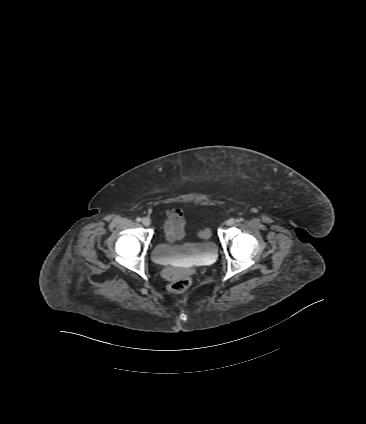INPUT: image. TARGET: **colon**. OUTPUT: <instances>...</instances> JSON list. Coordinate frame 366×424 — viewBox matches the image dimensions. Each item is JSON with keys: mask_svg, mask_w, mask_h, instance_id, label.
Here are the masks:
<instances>
[{"mask_svg": "<svg viewBox=\"0 0 366 424\" xmlns=\"http://www.w3.org/2000/svg\"><path fill=\"white\" fill-rule=\"evenodd\" d=\"M211 235V231L209 229L199 231L198 236L202 238H207ZM191 284V279L189 277H183L177 279L170 283L168 290L173 294H180L185 292Z\"/></svg>", "mask_w": 366, "mask_h": 424, "instance_id": "1", "label": "colon"}]
</instances>
